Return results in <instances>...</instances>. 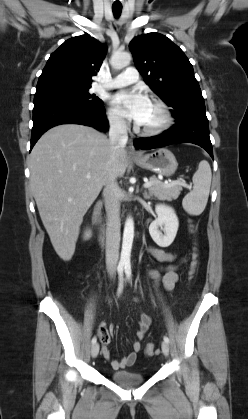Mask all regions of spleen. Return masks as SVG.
I'll return each instance as SVG.
<instances>
[{"label": "spleen", "instance_id": "spleen-1", "mask_svg": "<svg viewBox=\"0 0 248 419\" xmlns=\"http://www.w3.org/2000/svg\"><path fill=\"white\" fill-rule=\"evenodd\" d=\"M211 178L210 165L206 160H202L192 178L193 190L182 201L183 208L188 214L197 216L204 211L209 197Z\"/></svg>", "mask_w": 248, "mask_h": 419}]
</instances>
